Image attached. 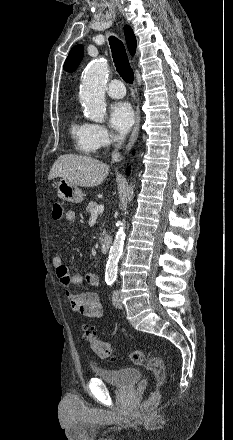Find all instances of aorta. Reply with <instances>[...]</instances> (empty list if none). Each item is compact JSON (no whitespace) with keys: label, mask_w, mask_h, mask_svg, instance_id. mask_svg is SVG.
<instances>
[{"label":"aorta","mask_w":233,"mask_h":440,"mask_svg":"<svg viewBox=\"0 0 233 440\" xmlns=\"http://www.w3.org/2000/svg\"><path fill=\"white\" fill-rule=\"evenodd\" d=\"M108 70V64L105 61L97 60L90 64L84 73L80 89V100L85 108L86 117L98 123L104 122L106 115L105 90ZM124 229L125 220L120 222V227L110 247L105 271V277L109 280L116 279L117 265L123 254L126 237Z\"/></svg>","instance_id":"aorta-1"}]
</instances>
